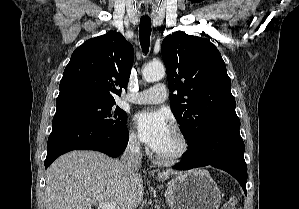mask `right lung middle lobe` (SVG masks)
Masks as SVG:
<instances>
[{
	"mask_svg": "<svg viewBox=\"0 0 299 209\" xmlns=\"http://www.w3.org/2000/svg\"><path fill=\"white\" fill-rule=\"evenodd\" d=\"M115 102L75 101L56 104L54 118L70 117L95 127L107 128L111 131L126 126L127 114Z\"/></svg>",
	"mask_w": 299,
	"mask_h": 209,
	"instance_id": "dd1d6c3e",
	"label": "right lung middle lobe"
}]
</instances>
